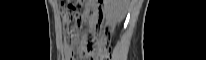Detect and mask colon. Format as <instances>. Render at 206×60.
Segmentation results:
<instances>
[{
  "mask_svg": "<svg viewBox=\"0 0 206 60\" xmlns=\"http://www.w3.org/2000/svg\"><path fill=\"white\" fill-rule=\"evenodd\" d=\"M61 15L69 34L72 36L75 32L77 25L79 24V6L72 2H62ZM95 28L98 34L103 32L104 36H101L100 38L94 37L87 40L85 44L86 51L93 54V59L95 60H108L110 48L107 33L109 32V29L103 28L100 23H98Z\"/></svg>",
  "mask_w": 206,
  "mask_h": 60,
  "instance_id": "5ec220e1",
  "label": "colon"
}]
</instances>
